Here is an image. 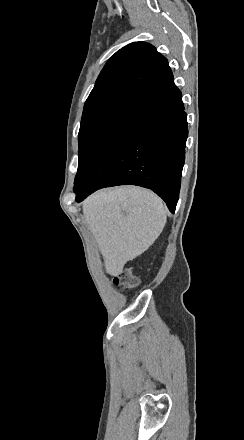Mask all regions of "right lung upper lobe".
<instances>
[{"label": "right lung upper lobe", "instance_id": "1", "mask_svg": "<svg viewBox=\"0 0 244 440\" xmlns=\"http://www.w3.org/2000/svg\"><path fill=\"white\" fill-rule=\"evenodd\" d=\"M171 77L167 59L154 46L133 42L108 60L86 103L120 95L142 98Z\"/></svg>", "mask_w": 244, "mask_h": 440}]
</instances>
